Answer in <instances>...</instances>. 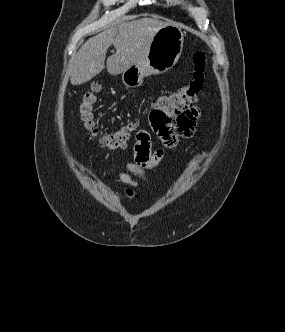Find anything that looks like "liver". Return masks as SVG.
I'll use <instances>...</instances> for the list:
<instances>
[{"label":"liver","instance_id":"liver-1","mask_svg":"<svg viewBox=\"0 0 285 332\" xmlns=\"http://www.w3.org/2000/svg\"><path fill=\"white\" fill-rule=\"evenodd\" d=\"M169 25L159 19H124L107 26L102 32L87 40L69 64L70 82L81 85L90 81L105 68L108 48L113 45L116 53L108 57L107 71L118 75L132 65L143 61L149 45L158 30Z\"/></svg>","mask_w":285,"mask_h":332}]
</instances>
